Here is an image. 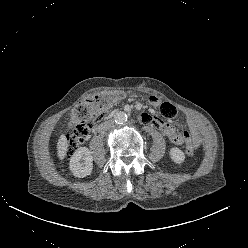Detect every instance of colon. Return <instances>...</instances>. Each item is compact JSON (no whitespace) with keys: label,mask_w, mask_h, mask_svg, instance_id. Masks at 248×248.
<instances>
[{"label":"colon","mask_w":248,"mask_h":248,"mask_svg":"<svg viewBox=\"0 0 248 248\" xmlns=\"http://www.w3.org/2000/svg\"><path fill=\"white\" fill-rule=\"evenodd\" d=\"M123 95L121 92H104L79 103L73 109L69 119L73 133L66 138V152L68 156L76 152L84 138L91 132V120L106 112ZM186 151L189 155H194L198 151V145L190 142L186 147Z\"/></svg>","instance_id":"5ec220e1"}]
</instances>
